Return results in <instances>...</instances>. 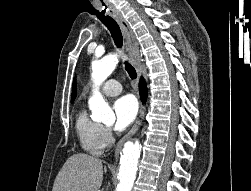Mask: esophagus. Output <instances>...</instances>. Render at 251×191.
Segmentation results:
<instances>
[{"label": "esophagus", "instance_id": "1", "mask_svg": "<svg viewBox=\"0 0 251 191\" xmlns=\"http://www.w3.org/2000/svg\"><path fill=\"white\" fill-rule=\"evenodd\" d=\"M110 15L113 16L116 19V21L119 23V25L121 26L122 33L125 39L126 49L129 52L130 60L133 63V65L137 66L139 63V48H138V44H137L135 35L133 33V30H131L129 23H127V21L125 20V18L122 16V14L119 11L110 12ZM144 111H145V107L143 106L140 111L139 117L137 121L135 122V124L133 125V127L131 128V130L128 131L126 135L122 136L120 141H118L115 148V153H114L115 159L118 158L123 145L139 129V126L141 125L142 120L144 118Z\"/></svg>", "mask_w": 251, "mask_h": 191}]
</instances>
